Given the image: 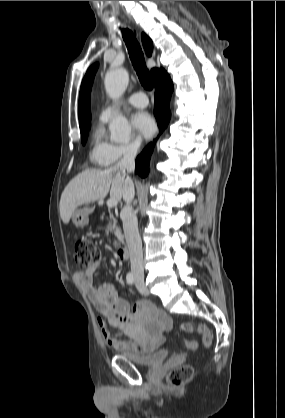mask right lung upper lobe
<instances>
[{"mask_svg": "<svg viewBox=\"0 0 285 418\" xmlns=\"http://www.w3.org/2000/svg\"><path fill=\"white\" fill-rule=\"evenodd\" d=\"M142 43L145 52L148 56L152 54L153 44L151 39L144 33H142ZM98 63L92 65L85 77L83 78L80 95H79V125L80 128L90 125V91L94 79V75L97 71ZM151 73L154 78L155 86L160 83L164 76L168 75L164 69L153 68Z\"/></svg>", "mask_w": 285, "mask_h": 418, "instance_id": "cb5924a9", "label": "right lung upper lobe"}]
</instances>
